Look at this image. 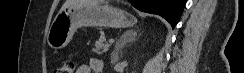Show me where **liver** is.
Segmentation results:
<instances>
[{"label": "liver", "mask_w": 244, "mask_h": 73, "mask_svg": "<svg viewBox=\"0 0 244 73\" xmlns=\"http://www.w3.org/2000/svg\"><path fill=\"white\" fill-rule=\"evenodd\" d=\"M74 2H83V3H91V4L98 3L97 1H93V0H66L61 9H63L67 5H70L71 3H74Z\"/></svg>", "instance_id": "liver-1"}]
</instances>
